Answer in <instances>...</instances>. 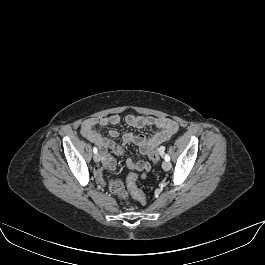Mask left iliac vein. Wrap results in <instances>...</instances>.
Returning <instances> with one entry per match:
<instances>
[{"instance_id":"left-iliac-vein-1","label":"left iliac vein","mask_w":265,"mask_h":265,"mask_svg":"<svg viewBox=\"0 0 265 265\" xmlns=\"http://www.w3.org/2000/svg\"><path fill=\"white\" fill-rule=\"evenodd\" d=\"M162 168L165 170V171H168L171 169V163L169 161H163L162 163Z\"/></svg>"}]
</instances>
